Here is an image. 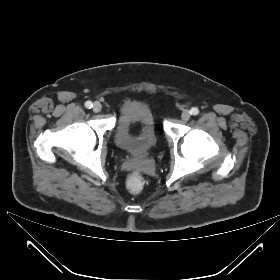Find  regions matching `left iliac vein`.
Segmentation results:
<instances>
[{
    "instance_id": "1",
    "label": "left iliac vein",
    "mask_w": 280,
    "mask_h": 280,
    "mask_svg": "<svg viewBox=\"0 0 280 280\" xmlns=\"http://www.w3.org/2000/svg\"><path fill=\"white\" fill-rule=\"evenodd\" d=\"M190 117H191V114H190V111H189V110H184V111L182 112V114H181V118H182V120H184V121L189 120Z\"/></svg>"
}]
</instances>
